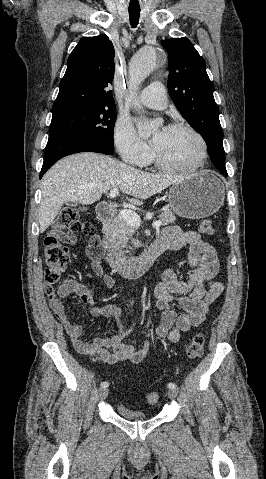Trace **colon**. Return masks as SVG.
I'll return each mask as SVG.
<instances>
[{
    "mask_svg": "<svg viewBox=\"0 0 266 479\" xmlns=\"http://www.w3.org/2000/svg\"><path fill=\"white\" fill-rule=\"evenodd\" d=\"M80 210L74 206H68L61 210L55 225L54 231L49 234L44 241L45 273L44 282L47 292H52L60 280L61 274L69 263L70 257L68 249L61 243L60 234H70L73 236H83L90 243L98 244V235L95 227L89 221H81ZM199 231L208 236L215 234L213 222L210 219H204L199 224ZM205 336L197 333L191 339L187 347V356L190 359L199 358L204 351ZM159 395L150 392L146 395V401L149 404H156Z\"/></svg>",
    "mask_w": 266,
    "mask_h": 479,
    "instance_id": "1",
    "label": "colon"
}]
</instances>
